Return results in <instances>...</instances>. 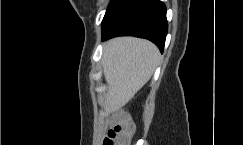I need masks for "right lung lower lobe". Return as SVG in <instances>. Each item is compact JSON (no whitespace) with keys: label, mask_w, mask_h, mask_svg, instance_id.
Segmentation results:
<instances>
[{"label":"right lung lower lobe","mask_w":243,"mask_h":145,"mask_svg":"<svg viewBox=\"0 0 243 145\" xmlns=\"http://www.w3.org/2000/svg\"><path fill=\"white\" fill-rule=\"evenodd\" d=\"M167 29L166 8L160 0H111L102 21V40L136 36L163 52Z\"/></svg>","instance_id":"98d812e1"}]
</instances>
